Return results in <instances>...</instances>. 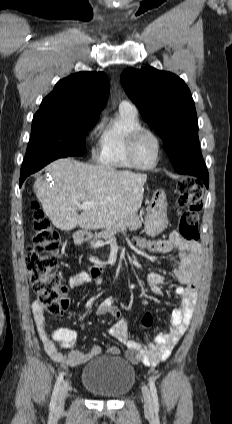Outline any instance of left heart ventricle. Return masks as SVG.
Wrapping results in <instances>:
<instances>
[{"mask_svg":"<svg viewBox=\"0 0 232 424\" xmlns=\"http://www.w3.org/2000/svg\"><path fill=\"white\" fill-rule=\"evenodd\" d=\"M157 153L155 139L149 134H142L134 148L136 161L141 165H150L154 162Z\"/></svg>","mask_w":232,"mask_h":424,"instance_id":"left-heart-ventricle-1","label":"left heart ventricle"}]
</instances>
